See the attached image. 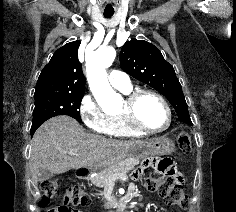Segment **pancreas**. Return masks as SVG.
<instances>
[{"mask_svg":"<svg viewBox=\"0 0 236 212\" xmlns=\"http://www.w3.org/2000/svg\"><path fill=\"white\" fill-rule=\"evenodd\" d=\"M138 164L137 160L133 159H124L115 165H112L111 167L105 169L101 173H99L97 176L93 177L91 179V182L99 187V188H106L109 185V180L113 179V182L119 179L121 176H124L125 179L123 181H126L128 179L127 173L132 170L136 165ZM103 196L104 193H101ZM106 207H109V204L105 205Z\"/></svg>","mask_w":236,"mask_h":212,"instance_id":"pancreas-1","label":"pancreas"}]
</instances>
